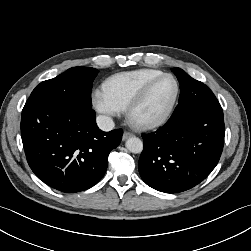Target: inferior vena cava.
<instances>
[{
    "mask_svg": "<svg viewBox=\"0 0 251 251\" xmlns=\"http://www.w3.org/2000/svg\"><path fill=\"white\" fill-rule=\"evenodd\" d=\"M97 125L102 131H111L115 124L111 117L105 115L97 116Z\"/></svg>",
    "mask_w": 251,
    "mask_h": 251,
    "instance_id": "602c4592",
    "label": "inferior vena cava"
}]
</instances>
